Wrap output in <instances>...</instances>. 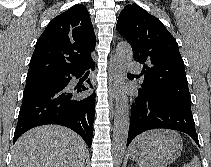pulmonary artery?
Segmentation results:
<instances>
[{
    "label": "pulmonary artery",
    "mask_w": 211,
    "mask_h": 167,
    "mask_svg": "<svg viewBox=\"0 0 211 167\" xmlns=\"http://www.w3.org/2000/svg\"><path fill=\"white\" fill-rule=\"evenodd\" d=\"M127 66L129 69L131 70H139V67L137 66V64L134 61H128Z\"/></svg>",
    "instance_id": "1"
}]
</instances>
